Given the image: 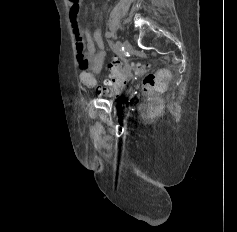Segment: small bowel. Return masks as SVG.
Here are the masks:
<instances>
[{"instance_id":"small-bowel-1","label":"small bowel","mask_w":237,"mask_h":232,"mask_svg":"<svg viewBox=\"0 0 237 232\" xmlns=\"http://www.w3.org/2000/svg\"><path fill=\"white\" fill-rule=\"evenodd\" d=\"M82 0H70V21L72 24L75 45L77 51L78 66L83 71H91L98 75L102 69L105 58L102 32L96 29L93 34L85 31L79 21V12ZM95 86V84L93 85ZM98 92H106L109 95L118 91L97 87Z\"/></svg>"}]
</instances>
